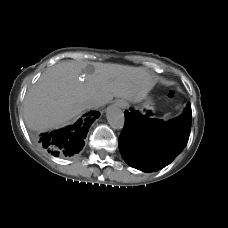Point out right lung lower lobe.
<instances>
[{"label": "right lung lower lobe", "mask_w": 228, "mask_h": 228, "mask_svg": "<svg viewBox=\"0 0 228 228\" xmlns=\"http://www.w3.org/2000/svg\"><path fill=\"white\" fill-rule=\"evenodd\" d=\"M100 116L97 111L84 114L74 124L36 137L38 143L54 156L70 157L82 150L90 125Z\"/></svg>", "instance_id": "obj_1"}]
</instances>
